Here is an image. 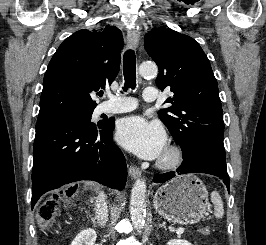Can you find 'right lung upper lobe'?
<instances>
[{
	"instance_id": "1",
	"label": "right lung upper lobe",
	"mask_w": 266,
	"mask_h": 245,
	"mask_svg": "<svg viewBox=\"0 0 266 245\" xmlns=\"http://www.w3.org/2000/svg\"><path fill=\"white\" fill-rule=\"evenodd\" d=\"M122 34L115 26L79 30L53 55L43 80L38 121L59 117L97 104L90 93L111 84L120 68Z\"/></svg>"
}]
</instances>
